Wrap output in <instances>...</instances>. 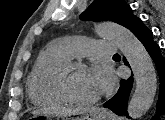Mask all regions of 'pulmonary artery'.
Returning <instances> with one entry per match:
<instances>
[{
	"instance_id": "e3ab8cb5",
	"label": "pulmonary artery",
	"mask_w": 165,
	"mask_h": 120,
	"mask_svg": "<svg viewBox=\"0 0 165 120\" xmlns=\"http://www.w3.org/2000/svg\"><path fill=\"white\" fill-rule=\"evenodd\" d=\"M54 47L61 51L69 59L87 54H97L100 56H112L118 52L119 47L112 42L86 41L76 38L59 39Z\"/></svg>"
}]
</instances>
